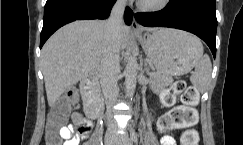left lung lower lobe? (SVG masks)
<instances>
[{
  "label": "left lung lower lobe",
  "mask_w": 243,
  "mask_h": 145,
  "mask_svg": "<svg viewBox=\"0 0 243 145\" xmlns=\"http://www.w3.org/2000/svg\"><path fill=\"white\" fill-rule=\"evenodd\" d=\"M138 23L145 27H170L191 32L206 42L215 58L217 19L215 9L194 8L183 2L169 1L157 12L137 13Z\"/></svg>",
  "instance_id": "obj_1"
}]
</instances>
